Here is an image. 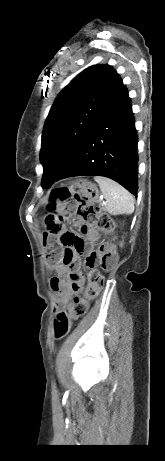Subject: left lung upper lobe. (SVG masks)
Returning <instances> with one entry per match:
<instances>
[{
  "instance_id": "obj_1",
  "label": "left lung upper lobe",
  "mask_w": 165,
  "mask_h": 461,
  "mask_svg": "<svg viewBox=\"0 0 165 461\" xmlns=\"http://www.w3.org/2000/svg\"><path fill=\"white\" fill-rule=\"evenodd\" d=\"M123 86L119 74L111 66L94 65L78 74L59 93L42 133L43 188L52 185Z\"/></svg>"
}]
</instances>
